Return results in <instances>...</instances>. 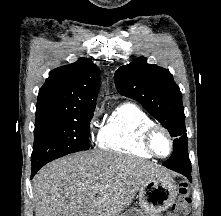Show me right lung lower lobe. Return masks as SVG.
I'll list each match as a JSON object with an SVG mask.
<instances>
[{
  "instance_id": "obj_1",
  "label": "right lung lower lobe",
  "mask_w": 221,
  "mask_h": 216,
  "mask_svg": "<svg viewBox=\"0 0 221 216\" xmlns=\"http://www.w3.org/2000/svg\"><path fill=\"white\" fill-rule=\"evenodd\" d=\"M42 166H43V165L32 166L31 178L37 173V171H38Z\"/></svg>"
}]
</instances>
